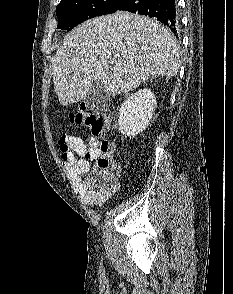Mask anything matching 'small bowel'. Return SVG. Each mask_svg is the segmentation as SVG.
I'll return each mask as SVG.
<instances>
[{
    "instance_id": "obj_1",
    "label": "small bowel",
    "mask_w": 233,
    "mask_h": 294,
    "mask_svg": "<svg viewBox=\"0 0 233 294\" xmlns=\"http://www.w3.org/2000/svg\"><path fill=\"white\" fill-rule=\"evenodd\" d=\"M69 146L67 158L62 163L71 180H79L82 175H87L90 170L89 161L93 159L97 141L90 138L85 143L80 137L66 135ZM118 185L112 182L108 187H91L87 179L81 183V194L84 201L91 206L106 202L117 190Z\"/></svg>"
}]
</instances>
